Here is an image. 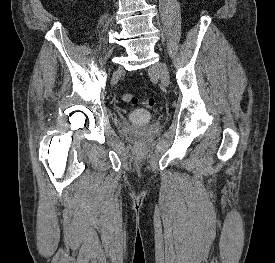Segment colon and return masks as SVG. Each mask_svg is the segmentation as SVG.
I'll use <instances>...</instances> for the list:
<instances>
[{
    "mask_svg": "<svg viewBox=\"0 0 275 263\" xmlns=\"http://www.w3.org/2000/svg\"><path fill=\"white\" fill-rule=\"evenodd\" d=\"M122 100L128 104H132V105L138 104V98L134 94H131V93H123ZM154 103H155L154 99L149 98L145 101V106L151 108L154 106Z\"/></svg>",
    "mask_w": 275,
    "mask_h": 263,
    "instance_id": "1",
    "label": "colon"
}]
</instances>
